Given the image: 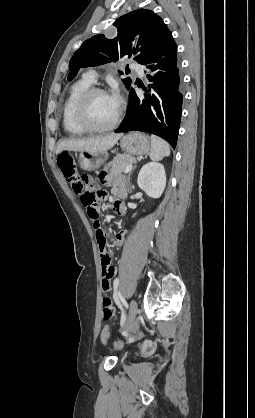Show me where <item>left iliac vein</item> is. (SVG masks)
Returning a JSON list of instances; mask_svg holds the SVG:
<instances>
[{"mask_svg":"<svg viewBox=\"0 0 255 418\" xmlns=\"http://www.w3.org/2000/svg\"><path fill=\"white\" fill-rule=\"evenodd\" d=\"M138 313V305L135 300H131L130 302V308H129V314L128 318L124 324V329H127L131 326V324L134 322L136 315Z\"/></svg>","mask_w":255,"mask_h":418,"instance_id":"left-iliac-vein-1","label":"left iliac vein"}]
</instances>
